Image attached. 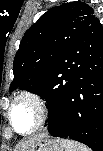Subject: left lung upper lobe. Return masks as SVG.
<instances>
[{"label": "left lung upper lobe", "mask_w": 103, "mask_h": 151, "mask_svg": "<svg viewBox=\"0 0 103 151\" xmlns=\"http://www.w3.org/2000/svg\"><path fill=\"white\" fill-rule=\"evenodd\" d=\"M94 10L81 1L54 7L43 14L23 36L14 63L10 90L18 87L36 93L51 78L66 51L93 24Z\"/></svg>", "instance_id": "obj_1"}]
</instances>
